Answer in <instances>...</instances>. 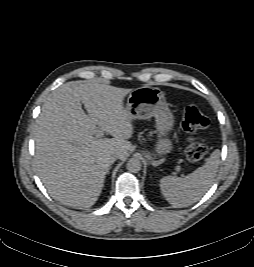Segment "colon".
Segmentation results:
<instances>
[{"label":"colon","mask_w":254,"mask_h":267,"mask_svg":"<svg viewBox=\"0 0 254 267\" xmlns=\"http://www.w3.org/2000/svg\"><path fill=\"white\" fill-rule=\"evenodd\" d=\"M209 119L200 109L194 105L187 106L183 111L182 128L190 134L195 135L209 127ZM186 157L191 163L202 161L207 154V146L203 138L193 137L189 140L186 150Z\"/></svg>","instance_id":"obj_1"}]
</instances>
